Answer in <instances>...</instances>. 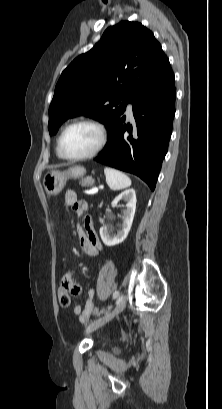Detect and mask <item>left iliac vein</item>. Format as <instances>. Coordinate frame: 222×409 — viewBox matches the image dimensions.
Listing matches in <instances>:
<instances>
[{
	"instance_id": "1",
	"label": "left iliac vein",
	"mask_w": 222,
	"mask_h": 409,
	"mask_svg": "<svg viewBox=\"0 0 222 409\" xmlns=\"http://www.w3.org/2000/svg\"><path fill=\"white\" fill-rule=\"evenodd\" d=\"M125 306H126V297L124 295H121L120 298L117 301V304H116L115 308L111 312H109L105 316H103L102 318H100V319L94 321L93 323H91L86 331L91 332V331H94V330L100 328L101 326L105 325L113 317H115L120 312H122L123 309L125 308Z\"/></svg>"
}]
</instances>
